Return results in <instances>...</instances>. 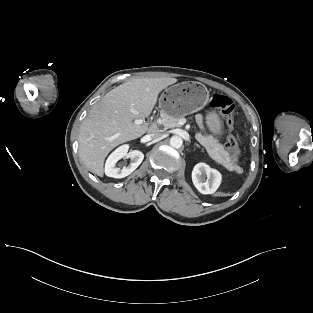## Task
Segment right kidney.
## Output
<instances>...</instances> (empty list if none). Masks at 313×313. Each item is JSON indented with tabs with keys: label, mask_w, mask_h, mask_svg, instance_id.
Segmentation results:
<instances>
[{
	"label": "right kidney",
	"mask_w": 313,
	"mask_h": 313,
	"mask_svg": "<svg viewBox=\"0 0 313 313\" xmlns=\"http://www.w3.org/2000/svg\"><path fill=\"white\" fill-rule=\"evenodd\" d=\"M128 149V145H122L108 157L105 164V174L108 177L124 178L130 175L141 164L144 154L139 150H133L128 153ZM124 157L131 159L130 164L123 167L117 166V162Z\"/></svg>",
	"instance_id": "ca27d5eb"
}]
</instances>
